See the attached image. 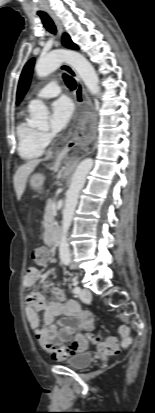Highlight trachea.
Listing matches in <instances>:
<instances>
[{"mask_svg":"<svg viewBox=\"0 0 155 413\" xmlns=\"http://www.w3.org/2000/svg\"><path fill=\"white\" fill-rule=\"evenodd\" d=\"M44 24V27L52 34L56 33V27L54 25V22L52 21V19L46 14V13H39L38 14ZM63 79L66 83V85L70 88V89H75L76 88V82L75 80L64 74L63 75Z\"/></svg>","mask_w":155,"mask_h":413,"instance_id":"obj_1","label":"trachea"}]
</instances>
